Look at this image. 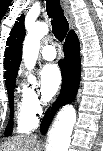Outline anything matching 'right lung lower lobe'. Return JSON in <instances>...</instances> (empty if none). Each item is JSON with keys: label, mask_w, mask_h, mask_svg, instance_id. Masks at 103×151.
Returning a JSON list of instances; mask_svg holds the SVG:
<instances>
[{"label": "right lung lower lobe", "mask_w": 103, "mask_h": 151, "mask_svg": "<svg viewBox=\"0 0 103 151\" xmlns=\"http://www.w3.org/2000/svg\"><path fill=\"white\" fill-rule=\"evenodd\" d=\"M65 58L60 60V68L62 73V90L59 98L52 107L51 114L56 109V106L64 105L71 102L77 93L80 81V55L79 44L76 36L70 39H66L64 44ZM50 121V109L46 112L45 117L42 120L40 130L42 134H45Z\"/></svg>", "instance_id": "98d812e1"}]
</instances>
